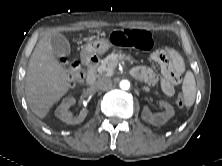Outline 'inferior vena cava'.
Masks as SVG:
<instances>
[{
	"label": "inferior vena cava",
	"instance_id": "inferior-vena-cava-1",
	"mask_svg": "<svg viewBox=\"0 0 222 166\" xmlns=\"http://www.w3.org/2000/svg\"><path fill=\"white\" fill-rule=\"evenodd\" d=\"M96 85L98 89L109 90L112 88V80L110 78H101Z\"/></svg>",
	"mask_w": 222,
	"mask_h": 166
}]
</instances>
